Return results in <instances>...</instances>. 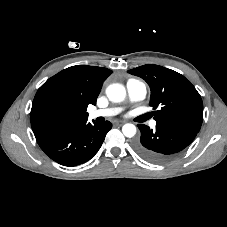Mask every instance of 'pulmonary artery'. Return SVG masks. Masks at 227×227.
Instances as JSON below:
<instances>
[{"label": "pulmonary artery", "mask_w": 227, "mask_h": 227, "mask_svg": "<svg viewBox=\"0 0 227 227\" xmlns=\"http://www.w3.org/2000/svg\"><path fill=\"white\" fill-rule=\"evenodd\" d=\"M128 100L130 103H135L143 100L147 94L146 85L136 79L128 80L126 84ZM123 110L122 107H113V108H105V109H97L90 111L88 114L89 119H96L98 117H110L120 113ZM156 125L155 121L151 122V126L154 127Z\"/></svg>", "instance_id": "1"}]
</instances>
